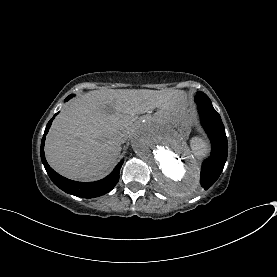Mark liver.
<instances>
[{"instance_id": "obj_1", "label": "liver", "mask_w": 277, "mask_h": 277, "mask_svg": "<svg viewBox=\"0 0 277 277\" xmlns=\"http://www.w3.org/2000/svg\"><path fill=\"white\" fill-rule=\"evenodd\" d=\"M178 90L92 91L73 100L57 117L46 141L50 165L73 179H93L113 165L128 124L139 114L173 111ZM123 138H120V137Z\"/></svg>"}]
</instances>
